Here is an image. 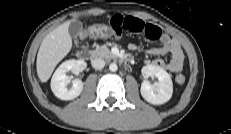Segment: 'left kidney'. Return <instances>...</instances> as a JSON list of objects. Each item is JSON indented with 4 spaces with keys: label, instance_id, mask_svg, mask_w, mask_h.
Here are the masks:
<instances>
[{
    "label": "left kidney",
    "instance_id": "5707ae66",
    "mask_svg": "<svg viewBox=\"0 0 231 134\" xmlns=\"http://www.w3.org/2000/svg\"><path fill=\"white\" fill-rule=\"evenodd\" d=\"M145 80L141 84V95L149 103L154 105L164 104L170 100L173 93V83L170 75L161 67L148 64L142 68ZM156 77L158 82L154 85L147 80Z\"/></svg>",
    "mask_w": 231,
    "mask_h": 134
}]
</instances>
